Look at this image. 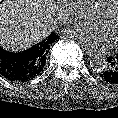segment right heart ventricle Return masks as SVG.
Returning <instances> with one entry per match:
<instances>
[{
    "mask_svg": "<svg viewBox=\"0 0 118 118\" xmlns=\"http://www.w3.org/2000/svg\"><path fill=\"white\" fill-rule=\"evenodd\" d=\"M93 1L102 8L113 0H93Z\"/></svg>",
    "mask_w": 118,
    "mask_h": 118,
    "instance_id": "right-heart-ventricle-1",
    "label": "right heart ventricle"
}]
</instances>
